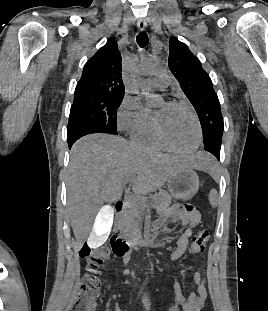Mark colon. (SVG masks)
<instances>
[{
    "mask_svg": "<svg viewBox=\"0 0 268 311\" xmlns=\"http://www.w3.org/2000/svg\"><path fill=\"white\" fill-rule=\"evenodd\" d=\"M209 238V230L199 231L193 238L190 252L194 255L203 252ZM111 252L113 251L106 246L91 249L89 244H85L81 248L80 256L85 260V272L78 283L74 301L68 311H96V298L100 291L101 268Z\"/></svg>",
    "mask_w": 268,
    "mask_h": 311,
    "instance_id": "colon-1",
    "label": "colon"
}]
</instances>
